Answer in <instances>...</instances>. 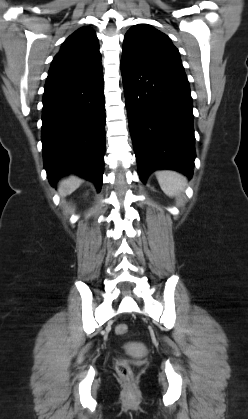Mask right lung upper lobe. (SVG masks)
<instances>
[{"label": "right lung upper lobe", "instance_id": "1", "mask_svg": "<svg viewBox=\"0 0 248 419\" xmlns=\"http://www.w3.org/2000/svg\"><path fill=\"white\" fill-rule=\"evenodd\" d=\"M101 66L94 30L82 27L70 35L54 57L46 82L75 78Z\"/></svg>", "mask_w": 248, "mask_h": 419}]
</instances>
